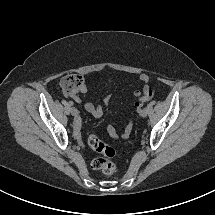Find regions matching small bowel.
<instances>
[{
	"label": "small bowel",
	"mask_w": 215,
	"mask_h": 215,
	"mask_svg": "<svg viewBox=\"0 0 215 215\" xmlns=\"http://www.w3.org/2000/svg\"><path fill=\"white\" fill-rule=\"evenodd\" d=\"M140 81L143 83H148L149 82V77L146 74H142L140 76ZM86 91V86L84 85L82 88V92ZM136 95V93H135ZM112 96L111 95H107L104 99H103V105L106 106L110 103ZM75 101L77 103H80L81 100L79 98H76ZM85 110L90 113L93 117L95 118H101V116L103 115V107L101 105H96L94 103L88 102L84 105ZM80 127V122L78 121L76 123V128L78 129ZM132 122L129 121L127 123V125L125 126L121 137L122 138H128L132 132ZM107 131L109 133V135L114 138L117 139L119 137L118 132L116 131V129L113 126H108Z\"/></svg>",
	"instance_id": "1"
}]
</instances>
